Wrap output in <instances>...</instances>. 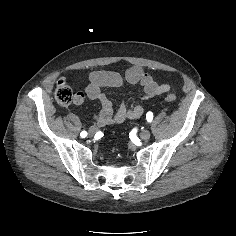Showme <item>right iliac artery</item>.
<instances>
[{
  "label": "right iliac artery",
  "mask_w": 236,
  "mask_h": 236,
  "mask_svg": "<svg viewBox=\"0 0 236 236\" xmlns=\"http://www.w3.org/2000/svg\"><path fill=\"white\" fill-rule=\"evenodd\" d=\"M80 136H81L82 138H85V137L87 136V132H86V131H82V132L80 133Z\"/></svg>",
  "instance_id": "82829eb1"
}]
</instances>
